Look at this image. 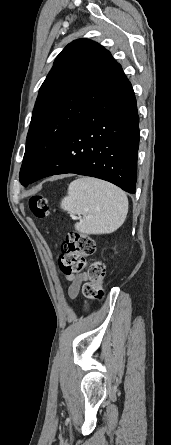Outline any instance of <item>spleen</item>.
I'll return each mask as SVG.
<instances>
[{"label": "spleen", "instance_id": "1", "mask_svg": "<svg viewBox=\"0 0 171 445\" xmlns=\"http://www.w3.org/2000/svg\"><path fill=\"white\" fill-rule=\"evenodd\" d=\"M61 208L73 215H83V219L75 224L77 231L83 234H108L124 223L128 199L113 184L82 177L70 183Z\"/></svg>", "mask_w": 171, "mask_h": 445}]
</instances>
